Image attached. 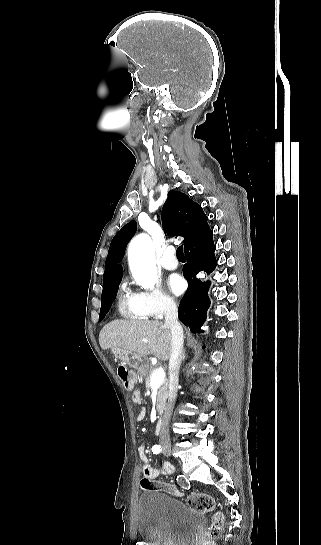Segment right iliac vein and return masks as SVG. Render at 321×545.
Here are the masks:
<instances>
[{"mask_svg": "<svg viewBox=\"0 0 321 545\" xmlns=\"http://www.w3.org/2000/svg\"><path fill=\"white\" fill-rule=\"evenodd\" d=\"M163 452H164L165 455H168V456L171 455V449L170 448H164Z\"/></svg>", "mask_w": 321, "mask_h": 545, "instance_id": "obj_1", "label": "right iliac vein"}]
</instances>
